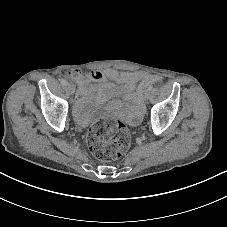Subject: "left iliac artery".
<instances>
[{"instance_id": "44dca946", "label": "left iliac artery", "mask_w": 227, "mask_h": 227, "mask_svg": "<svg viewBox=\"0 0 227 227\" xmlns=\"http://www.w3.org/2000/svg\"><path fill=\"white\" fill-rule=\"evenodd\" d=\"M152 89H153V87L152 86H149L147 90L148 91H151Z\"/></svg>"}]
</instances>
